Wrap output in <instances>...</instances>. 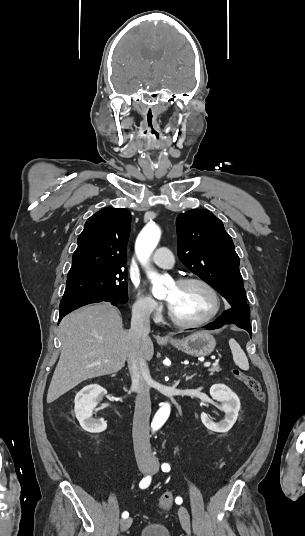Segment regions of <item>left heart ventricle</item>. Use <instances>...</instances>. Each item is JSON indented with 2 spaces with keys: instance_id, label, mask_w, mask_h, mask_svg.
Instances as JSON below:
<instances>
[{
  "instance_id": "obj_1",
  "label": "left heart ventricle",
  "mask_w": 305,
  "mask_h": 536,
  "mask_svg": "<svg viewBox=\"0 0 305 536\" xmlns=\"http://www.w3.org/2000/svg\"><path fill=\"white\" fill-rule=\"evenodd\" d=\"M165 299L178 315L192 321L208 318L217 307L214 294L200 284H174L167 291Z\"/></svg>"
}]
</instances>
